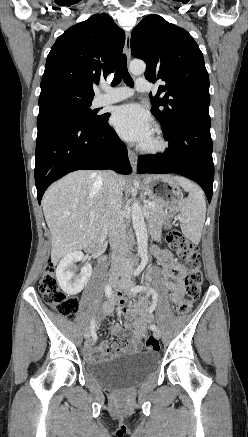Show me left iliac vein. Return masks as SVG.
<instances>
[{
	"mask_svg": "<svg viewBox=\"0 0 248 437\" xmlns=\"http://www.w3.org/2000/svg\"><path fill=\"white\" fill-rule=\"evenodd\" d=\"M119 288L130 296H134L135 292L132 291L133 283L130 280L122 279L119 282ZM154 337L159 339L161 337V331L156 329L153 331Z\"/></svg>",
	"mask_w": 248,
	"mask_h": 437,
	"instance_id": "obj_1",
	"label": "left iliac vein"
}]
</instances>
